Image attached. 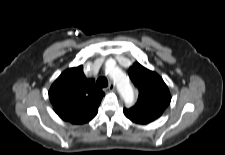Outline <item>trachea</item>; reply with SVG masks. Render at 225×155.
Returning a JSON list of instances; mask_svg holds the SVG:
<instances>
[{
	"label": "trachea",
	"mask_w": 225,
	"mask_h": 155,
	"mask_svg": "<svg viewBox=\"0 0 225 155\" xmlns=\"http://www.w3.org/2000/svg\"><path fill=\"white\" fill-rule=\"evenodd\" d=\"M96 84L98 88H104L108 86V81L105 77H99Z\"/></svg>",
	"instance_id": "trachea-1"
}]
</instances>
